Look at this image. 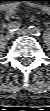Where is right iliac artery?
I'll return each instance as SVG.
<instances>
[{
    "label": "right iliac artery",
    "mask_w": 50,
    "mask_h": 111,
    "mask_svg": "<svg viewBox=\"0 0 50 111\" xmlns=\"http://www.w3.org/2000/svg\"><path fill=\"white\" fill-rule=\"evenodd\" d=\"M19 27H20V24L18 22H11L8 24L7 29L10 32H14V31L18 30Z\"/></svg>",
    "instance_id": "82829eb1"
}]
</instances>
